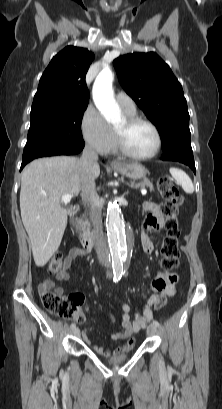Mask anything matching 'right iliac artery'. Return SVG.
<instances>
[{
	"label": "right iliac artery",
	"instance_id": "obj_1",
	"mask_svg": "<svg viewBox=\"0 0 222 409\" xmlns=\"http://www.w3.org/2000/svg\"><path fill=\"white\" fill-rule=\"evenodd\" d=\"M121 276H122V274L119 273V272L114 273V278H113L114 282H118V281L121 279ZM75 327H76L75 323H72V324L70 325V328H71V329H74Z\"/></svg>",
	"mask_w": 222,
	"mask_h": 409
}]
</instances>
